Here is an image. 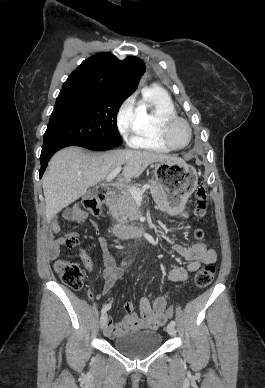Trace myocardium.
<instances>
[{
    "instance_id": "1",
    "label": "myocardium",
    "mask_w": 265,
    "mask_h": 388,
    "mask_svg": "<svg viewBox=\"0 0 265 388\" xmlns=\"http://www.w3.org/2000/svg\"><path fill=\"white\" fill-rule=\"evenodd\" d=\"M150 91H159V90H157V89H152V90H150ZM166 96H167V94H166ZM176 122L182 124V125L185 127L186 131L190 132V127H189L187 121H186L185 119H183V118H181V117L175 115V114L168 115V116H166V117L163 119V121H162V123H161V129H160V131H161V136H162L163 140H164L170 147H172V148H181V147L175 145V144L172 142L171 138H170V127H171V125H172L173 123H176ZM187 144H188V143H186V145H187ZM186 145H184L183 147H185Z\"/></svg>"
}]
</instances>
